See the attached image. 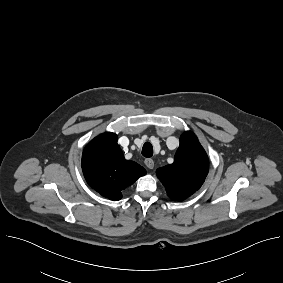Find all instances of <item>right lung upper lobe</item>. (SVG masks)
Listing matches in <instances>:
<instances>
[{"label": "right lung upper lobe", "instance_id": "1", "mask_svg": "<svg viewBox=\"0 0 283 283\" xmlns=\"http://www.w3.org/2000/svg\"><path fill=\"white\" fill-rule=\"evenodd\" d=\"M82 170L87 183L113 201L120 200L122 191L146 174L142 166L124 158L117 135L111 132L97 136L86 145Z\"/></svg>", "mask_w": 283, "mask_h": 283}]
</instances>
